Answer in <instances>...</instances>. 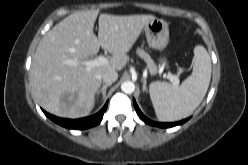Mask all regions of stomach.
I'll list each match as a JSON object with an SVG mask.
<instances>
[{
    "label": "stomach",
    "instance_id": "stomach-1",
    "mask_svg": "<svg viewBox=\"0 0 248 165\" xmlns=\"http://www.w3.org/2000/svg\"><path fill=\"white\" fill-rule=\"evenodd\" d=\"M145 36L149 47L163 51L169 42L168 24L162 19L155 18L144 27ZM160 63L167 65L165 58L160 59Z\"/></svg>",
    "mask_w": 248,
    "mask_h": 165
}]
</instances>
